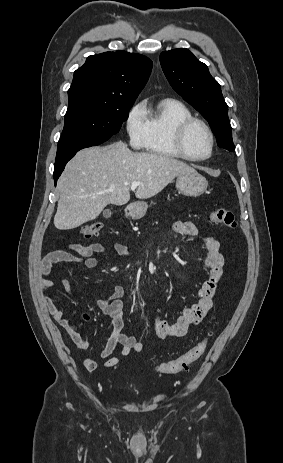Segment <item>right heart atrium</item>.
I'll list each match as a JSON object with an SVG mask.
<instances>
[{"instance_id":"obj_1","label":"right heart atrium","mask_w":283,"mask_h":463,"mask_svg":"<svg viewBox=\"0 0 283 463\" xmlns=\"http://www.w3.org/2000/svg\"><path fill=\"white\" fill-rule=\"evenodd\" d=\"M126 131L133 147H143L146 137V113L143 102L134 105L129 111L126 118Z\"/></svg>"}]
</instances>
